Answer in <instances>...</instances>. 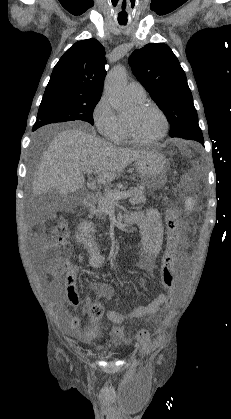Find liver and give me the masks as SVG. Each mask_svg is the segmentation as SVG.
Listing matches in <instances>:
<instances>
[{"label": "liver", "instance_id": "6515ba94", "mask_svg": "<svg viewBox=\"0 0 231 419\" xmlns=\"http://www.w3.org/2000/svg\"><path fill=\"white\" fill-rule=\"evenodd\" d=\"M146 152L116 147L96 137L91 130H63L54 136L38 164L33 194L50 190L62 195L76 192L84 184L86 169L98 175L99 183L112 182L119 172Z\"/></svg>", "mask_w": 231, "mask_h": 419}]
</instances>
